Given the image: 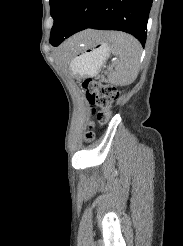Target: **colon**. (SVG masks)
<instances>
[{"label": "colon", "mask_w": 183, "mask_h": 246, "mask_svg": "<svg viewBox=\"0 0 183 246\" xmlns=\"http://www.w3.org/2000/svg\"><path fill=\"white\" fill-rule=\"evenodd\" d=\"M86 100L91 107V114L99 123H105L111 115V103L117 98L116 89L110 85L99 83L92 78L83 81ZM87 140L93 138L91 130L86 133Z\"/></svg>", "instance_id": "1"}]
</instances>
